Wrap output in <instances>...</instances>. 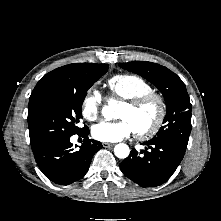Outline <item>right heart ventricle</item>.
<instances>
[{
    "label": "right heart ventricle",
    "instance_id": "right-heart-ventricle-1",
    "mask_svg": "<svg viewBox=\"0 0 221 221\" xmlns=\"http://www.w3.org/2000/svg\"><path fill=\"white\" fill-rule=\"evenodd\" d=\"M109 91L116 97L131 100L151 92L152 86L143 78L133 74H118L107 81Z\"/></svg>",
    "mask_w": 221,
    "mask_h": 221
}]
</instances>
